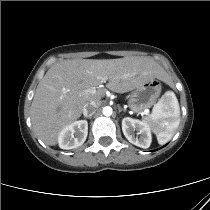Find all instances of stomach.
<instances>
[{
	"mask_svg": "<svg viewBox=\"0 0 210 210\" xmlns=\"http://www.w3.org/2000/svg\"><path fill=\"white\" fill-rule=\"evenodd\" d=\"M161 92V84L158 80H150L132 91L128 96V104L134 112H141L153 106Z\"/></svg>",
	"mask_w": 210,
	"mask_h": 210,
	"instance_id": "obj_1",
	"label": "stomach"
}]
</instances>
